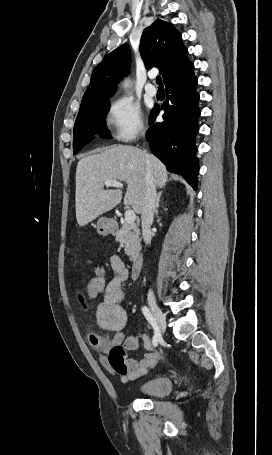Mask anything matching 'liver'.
<instances>
[{"instance_id": "liver-1", "label": "liver", "mask_w": 272, "mask_h": 455, "mask_svg": "<svg viewBox=\"0 0 272 455\" xmlns=\"http://www.w3.org/2000/svg\"><path fill=\"white\" fill-rule=\"evenodd\" d=\"M156 186L163 188L168 176L164 164L154 155L132 146H112L79 160L76 169V219L85 226L110 211L122 200V190H104L107 180L127 184L124 204L140 214L145 195L147 165Z\"/></svg>"}]
</instances>
